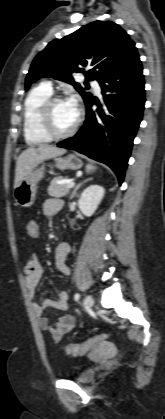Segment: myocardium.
I'll return each mask as SVG.
<instances>
[{
  "label": "myocardium",
  "instance_id": "obj_1",
  "mask_svg": "<svg viewBox=\"0 0 165 419\" xmlns=\"http://www.w3.org/2000/svg\"><path fill=\"white\" fill-rule=\"evenodd\" d=\"M66 101L62 96H51L46 99L40 106L39 109V121L42 130L50 138L54 140L65 139L72 136L78 129L80 124V118H77L75 124L65 132H58L54 128L52 119L53 106L58 102Z\"/></svg>",
  "mask_w": 165,
  "mask_h": 419
}]
</instances>
